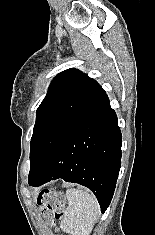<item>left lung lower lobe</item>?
I'll list each match as a JSON object with an SVG mask.
<instances>
[{
  "mask_svg": "<svg viewBox=\"0 0 155 235\" xmlns=\"http://www.w3.org/2000/svg\"><path fill=\"white\" fill-rule=\"evenodd\" d=\"M121 145L117 116L105 94L62 139L39 171L29 175V185L38 187L58 178L78 183L92 190L104 213L114 194Z\"/></svg>",
  "mask_w": 155,
  "mask_h": 235,
  "instance_id": "0a47b994",
  "label": "left lung lower lobe"
}]
</instances>
